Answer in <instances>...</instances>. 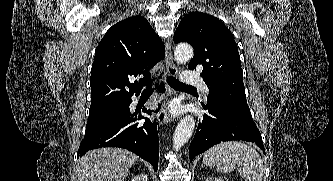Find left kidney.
<instances>
[{
    "label": "left kidney",
    "mask_w": 333,
    "mask_h": 181,
    "mask_svg": "<svg viewBox=\"0 0 333 181\" xmlns=\"http://www.w3.org/2000/svg\"><path fill=\"white\" fill-rule=\"evenodd\" d=\"M206 181H224V180L215 176H210L206 179Z\"/></svg>",
    "instance_id": "1"
}]
</instances>
